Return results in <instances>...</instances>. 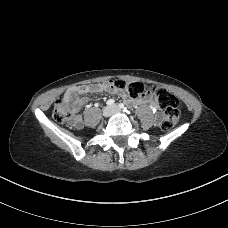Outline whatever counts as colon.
Instances as JSON below:
<instances>
[{
  "instance_id": "colon-1",
  "label": "colon",
  "mask_w": 228,
  "mask_h": 228,
  "mask_svg": "<svg viewBox=\"0 0 228 228\" xmlns=\"http://www.w3.org/2000/svg\"><path fill=\"white\" fill-rule=\"evenodd\" d=\"M113 86L119 92L132 98L153 95L165 112L162 123L163 130H171L178 123L181 113L179 100L175 95L164 88L145 85L141 82H125L121 80L114 81ZM74 117L75 109L73 105L66 98L62 96L58 97L54 103L53 118L59 123H64L74 120Z\"/></svg>"
}]
</instances>
